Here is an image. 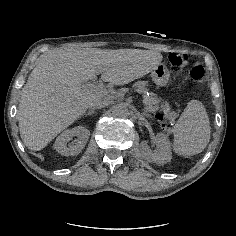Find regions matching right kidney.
Masks as SVG:
<instances>
[{"instance_id": "right-kidney-1", "label": "right kidney", "mask_w": 236, "mask_h": 236, "mask_svg": "<svg viewBox=\"0 0 236 236\" xmlns=\"http://www.w3.org/2000/svg\"><path fill=\"white\" fill-rule=\"evenodd\" d=\"M74 136L77 137V140L67 145ZM89 136L90 131L82 126L65 130L56 138L54 148L64 156L78 155L85 147Z\"/></svg>"}]
</instances>
